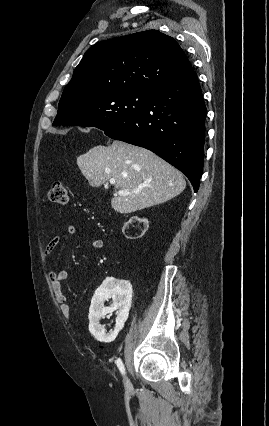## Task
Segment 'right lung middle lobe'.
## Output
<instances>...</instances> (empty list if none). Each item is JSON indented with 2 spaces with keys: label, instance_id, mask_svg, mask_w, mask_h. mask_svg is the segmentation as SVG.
<instances>
[{
  "label": "right lung middle lobe",
  "instance_id": "obj_1",
  "mask_svg": "<svg viewBox=\"0 0 269 426\" xmlns=\"http://www.w3.org/2000/svg\"><path fill=\"white\" fill-rule=\"evenodd\" d=\"M149 93L122 91L93 98L63 97L53 125L97 127L106 131L139 114L147 104Z\"/></svg>",
  "mask_w": 269,
  "mask_h": 426
}]
</instances>
